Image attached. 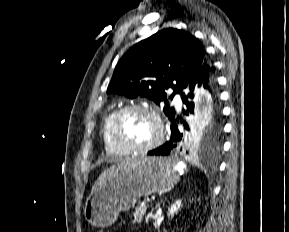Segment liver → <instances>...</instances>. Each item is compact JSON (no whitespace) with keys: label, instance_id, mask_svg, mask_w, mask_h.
Returning <instances> with one entry per match:
<instances>
[{"label":"liver","instance_id":"obj_1","mask_svg":"<svg viewBox=\"0 0 289 232\" xmlns=\"http://www.w3.org/2000/svg\"><path fill=\"white\" fill-rule=\"evenodd\" d=\"M135 161H136V159L129 160V161H126V162L121 163L119 165L112 166V167L106 169L104 172L101 173V175L95 181V183L91 189V194L94 193L95 191H97L98 189H100L106 183V181L114 175L115 172H117L119 170H125L129 165H131Z\"/></svg>","mask_w":289,"mask_h":232}]
</instances>
